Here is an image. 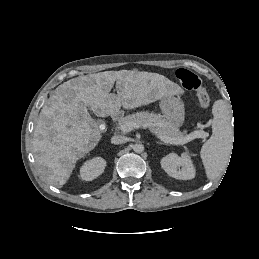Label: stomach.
Instances as JSON below:
<instances>
[{
	"label": "stomach",
	"instance_id": "obj_1",
	"mask_svg": "<svg viewBox=\"0 0 259 259\" xmlns=\"http://www.w3.org/2000/svg\"><path fill=\"white\" fill-rule=\"evenodd\" d=\"M160 108L164 118L173 122L177 127L184 123V104L179 98L174 96L164 97L160 101Z\"/></svg>",
	"mask_w": 259,
	"mask_h": 259
}]
</instances>
